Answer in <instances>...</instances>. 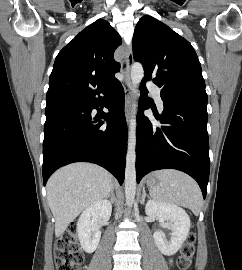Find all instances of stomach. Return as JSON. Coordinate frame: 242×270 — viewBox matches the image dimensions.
I'll use <instances>...</instances> for the list:
<instances>
[{
    "mask_svg": "<svg viewBox=\"0 0 242 270\" xmlns=\"http://www.w3.org/2000/svg\"><path fill=\"white\" fill-rule=\"evenodd\" d=\"M147 185L152 189L153 187H155L157 185V178L156 176L153 174L151 176H149L147 178V181H146Z\"/></svg>",
    "mask_w": 242,
    "mask_h": 270,
    "instance_id": "stomach-1",
    "label": "stomach"
}]
</instances>
